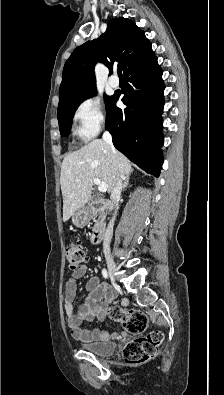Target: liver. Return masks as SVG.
Masks as SVG:
<instances>
[{
    "label": "liver",
    "instance_id": "1",
    "mask_svg": "<svg viewBox=\"0 0 224 395\" xmlns=\"http://www.w3.org/2000/svg\"><path fill=\"white\" fill-rule=\"evenodd\" d=\"M132 170L129 159L101 139L68 154L62 162L60 176L63 221H68L88 202L95 178L107 183L108 193H111L117 173L125 179Z\"/></svg>",
    "mask_w": 224,
    "mask_h": 395
}]
</instances>
